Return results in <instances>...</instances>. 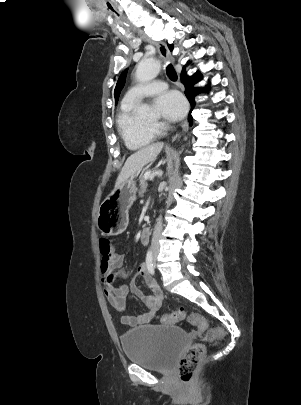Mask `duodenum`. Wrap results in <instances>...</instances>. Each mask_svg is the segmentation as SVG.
<instances>
[{
  "label": "duodenum",
  "mask_w": 301,
  "mask_h": 405,
  "mask_svg": "<svg viewBox=\"0 0 301 405\" xmlns=\"http://www.w3.org/2000/svg\"><path fill=\"white\" fill-rule=\"evenodd\" d=\"M150 237V231L148 228H144L141 231L140 239L143 244H148Z\"/></svg>",
  "instance_id": "1"
}]
</instances>
